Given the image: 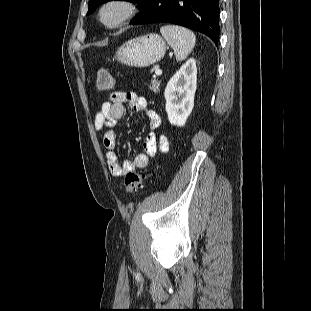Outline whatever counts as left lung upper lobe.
<instances>
[{
  "instance_id": "obj_1",
  "label": "left lung upper lobe",
  "mask_w": 311,
  "mask_h": 311,
  "mask_svg": "<svg viewBox=\"0 0 311 311\" xmlns=\"http://www.w3.org/2000/svg\"><path fill=\"white\" fill-rule=\"evenodd\" d=\"M110 0H89V10L87 12V14H91L98 5L104 3V2H108ZM126 1H130L132 3H136L138 5V8H140L145 0H126Z\"/></svg>"
}]
</instances>
